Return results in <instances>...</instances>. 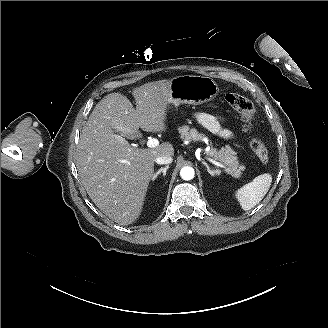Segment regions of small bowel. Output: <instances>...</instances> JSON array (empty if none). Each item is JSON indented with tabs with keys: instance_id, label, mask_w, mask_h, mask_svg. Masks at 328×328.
Here are the masks:
<instances>
[{
	"instance_id": "small-bowel-1",
	"label": "small bowel",
	"mask_w": 328,
	"mask_h": 328,
	"mask_svg": "<svg viewBox=\"0 0 328 328\" xmlns=\"http://www.w3.org/2000/svg\"><path fill=\"white\" fill-rule=\"evenodd\" d=\"M195 118L202 126L214 134H217L223 138H230L232 136V132L222 126V118L220 116L205 112H198L195 113Z\"/></svg>"
}]
</instances>
